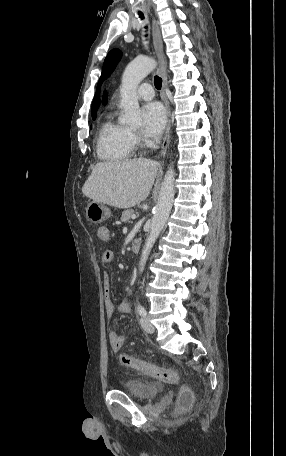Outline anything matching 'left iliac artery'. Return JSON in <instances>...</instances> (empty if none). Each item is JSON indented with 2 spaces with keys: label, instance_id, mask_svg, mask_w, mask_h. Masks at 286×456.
<instances>
[{
  "label": "left iliac artery",
  "instance_id": "1",
  "mask_svg": "<svg viewBox=\"0 0 286 456\" xmlns=\"http://www.w3.org/2000/svg\"><path fill=\"white\" fill-rule=\"evenodd\" d=\"M137 312L140 316H143V317L146 316V314H147L145 308L141 304L137 305Z\"/></svg>",
  "mask_w": 286,
  "mask_h": 456
}]
</instances>
